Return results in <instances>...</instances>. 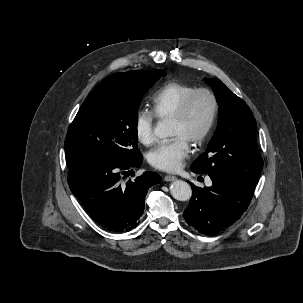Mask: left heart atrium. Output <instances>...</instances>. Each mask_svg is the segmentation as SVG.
Segmentation results:
<instances>
[{"label":"left heart atrium","instance_id":"left-heart-atrium-1","mask_svg":"<svg viewBox=\"0 0 303 303\" xmlns=\"http://www.w3.org/2000/svg\"><path fill=\"white\" fill-rule=\"evenodd\" d=\"M189 153V142L182 136H176L151 151L148 160L153 167L159 170L174 172L181 168Z\"/></svg>","mask_w":303,"mask_h":303}]
</instances>
